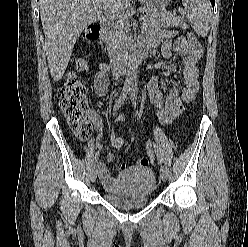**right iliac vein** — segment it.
I'll return each mask as SVG.
<instances>
[{"label":"right iliac vein","instance_id":"63e3f726","mask_svg":"<svg viewBox=\"0 0 248 247\" xmlns=\"http://www.w3.org/2000/svg\"><path fill=\"white\" fill-rule=\"evenodd\" d=\"M97 173H98L97 169L93 168L92 171H91V174H90V179H91L92 182L96 181Z\"/></svg>","mask_w":248,"mask_h":247}]
</instances>
